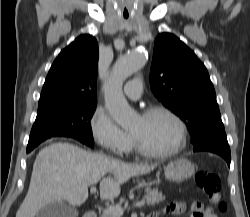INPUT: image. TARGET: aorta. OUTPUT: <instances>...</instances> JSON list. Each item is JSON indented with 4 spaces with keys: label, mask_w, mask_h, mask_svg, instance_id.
I'll return each mask as SVG.
<instances>
[{
    "label": "aorta",
    "mask_w": 250,
    "mask_h": 217,
    "mask_svg": "<svg viewBox=\"0 0 250 217\" xmlns=\"http://www.w3.org/2000/svg\"><path fill=\"white\" fill-rule=\"evenodd\" d=\"M145 60L144 51L135 50L124 54L114 64L111 75L104 85L105 107L121 126H129L135 118L134 111L123 95V83L143 67Z\"/></svg>",
    "instance_id": "aorta-1"
}]
</instances>
